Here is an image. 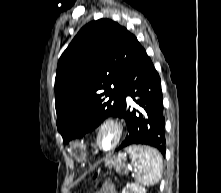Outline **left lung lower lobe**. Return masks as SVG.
I'll return each instance as SVG.
<instances>
[{
    "instance_id": "left-lung-lower-lobe-1",
    "label": "left lung lower lobe",
    "mask_w": 221,
    "mask_h": 193,
    "mask_svg": "<svg viewBox=\"0 0 221 193\" xmlns=\"http://www.w3.org/2000/svg\"><path fill=\"white\" fill-rule=\"evenodd\" d=\"M120 93L123 101L122 117L126 118L129 135L118 150L131 145H149L165 155V119L160 77L141 45L126 69ZM127 96L140 107L138 110H129L126 104ZM150 106L156 109L159 116L154 125H147L145 120Z\"/></svg>"
}]
</instances>
